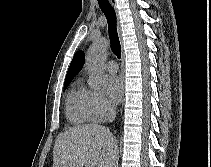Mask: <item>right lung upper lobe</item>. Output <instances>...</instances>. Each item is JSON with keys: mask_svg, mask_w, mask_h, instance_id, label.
Here are the masks:
<instances>
[{"mask_svg": "<svg viewBox=\"0 0 211 167\" xmlns=\"http://www.w3.org/2000/svg\"><path fill=\"white\" fill-rule=\"evenodd\" d=\"M84 61L85 57L82 51H79L74 55L73 60L69 66L65 82H71L72 78L82 69Z\"/></svg>", "mask_w": 211, "mask_h": 167, "instance_id": "right-lung-upper-lobe-1", "label": "right lung upper lobe"}]
</instances>
